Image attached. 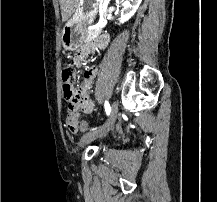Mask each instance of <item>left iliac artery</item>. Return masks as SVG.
<instances>
[{
	"label": "left iliac artery",
	"instance_id": "obj_1",
	"mask_svg": "<svg viewBox=\"0 0 217 202\" xmlns=\"http://www.w3.org/2000/svg\"><path fill=\"white\" fill-rule=\"evenodd\" d=\"M104 107H105V112L107 115L110 114V111H111V107H110V104L108 103V101H105V104H104ZM96 128L92 129V130H95Z\"/></svg>",
	"mask_w": 217,
	"mask_h": 202
}]
</instances>
